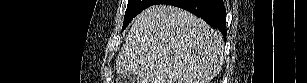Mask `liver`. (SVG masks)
<instances>
[{
    "label": "liver",
    "instance_id": "liver-1",
    "mask_svg": "<svg viewBox=\"0 0 307 83\" xmlns=\"http://www.w3.org/2000/svg\"><path fill=\"white\" fill-rule=\"evenodd\" d=\"M224 39L204 20L170 5L141 12L116 59L140 83H210L222 69Z\"/></svg>",
    "mask_w": 307,
    "mask_h": 83
}]
</instances>
